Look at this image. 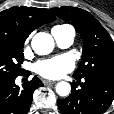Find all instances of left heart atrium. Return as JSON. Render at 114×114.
<instances>
[{
	"label": "left heart atrium",
	"instance_id": "39dd6f15",
	"mask_svg": "<svg viewBox=\"0 0 114 114\" xmlns=\"http://www.w3.org/2000/svg\"><path fill=\"white\" fill-rule=\"evenodd\" d=\"M74 68V61L69 55H60L35 63L34 70L44 78L57 79Z\"/></svg>",
	"mask_w": 114,
	"mask_h": 114
}]
</instances>
